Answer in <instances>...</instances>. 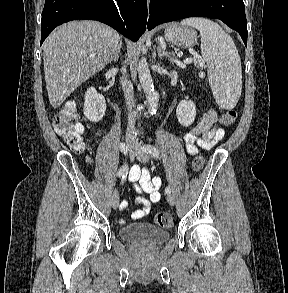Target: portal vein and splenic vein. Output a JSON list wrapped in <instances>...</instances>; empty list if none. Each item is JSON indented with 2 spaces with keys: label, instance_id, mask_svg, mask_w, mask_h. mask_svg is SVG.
I'll return each instance as SVG.
<instances>
[{
  "label": "portal vein and splenic vein",
  "instance_id": "18ae733b",
  "mask_svg": "<svg viewBox=\"0 0 288 293\" xmlns=\"http://www.w3.org/2000/svg\"><path fill=\"white\" fill-rule=\"evenodd\" d=\"M92 57H95V55H91ZM192 59H186L184 60V62H181L178 59L173 60V62L178 65L179 67L185 68V64L191 62ZM199 60V66L203 67L204 66V62L198 57Z\"/></svg>",
  "mask_w": 288,
  "mask_h": 293
}]
</instances>
